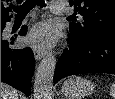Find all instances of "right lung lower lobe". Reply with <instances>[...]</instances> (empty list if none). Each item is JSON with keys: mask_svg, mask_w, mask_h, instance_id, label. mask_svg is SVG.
<instances>
[{"mask_svg": "<svg viewBox=\"0 0 115 99\" xmlns=\"http://www.w3.org/2000/svg\"><path fill=\"white\" fill-rule=\"evenodd\" d=\"M10 21V20H9ZM6 22L1 23V35ZM27 26H23L19 35H26ZM15 37L4 38L1 36V81L30 95L31 77L34 71V56L30 48L13 49L11 44Z\"/></svg>", "mask_w": 115, "mask_h": 99, "instance_id": "98d812e1", "label": "right lung lower lobe"}]
</instances>
